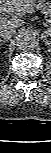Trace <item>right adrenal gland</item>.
Listing matches in <instances>:
<instances>
[{
    "label": "right adrenal gland",
    "mask_w": 51,
    "mask_h": 153,
    "mask_svg": "<svg viewBox=\"0 0 51 153\" xmlns=\"http://www.w3.org/2000/svg\"><path fill=\"white\" fill-rule=\"evenodd\" d=\"M0 42H1V44H2V43H4V42H6V40H0Z\"/></svg>",
    "instance_id": "right-adrenal-gland-1"
}]
</instances>
